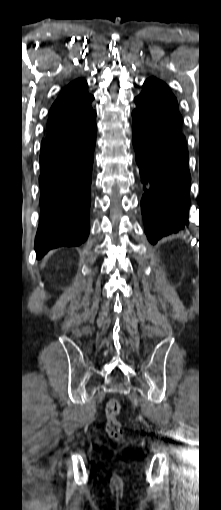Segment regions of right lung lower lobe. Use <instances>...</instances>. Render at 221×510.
Masks as SVG:
<instances>
[{"instance_id":"1","label":"right lung lower lobe","mask_w":221,"mask_h":510,"mask_svg":"<svg viewBox=\"0 0 221 510\" xmlns=\"http://www.w3.org/2000/svg\"><path fill=\"white\" fill-rule=\"evenodd\" d=\"M95 117L74 133L41 143V215L35 238L38 259L49 250L79 246L89 234Z\"/></svg>"}]
</instances>
